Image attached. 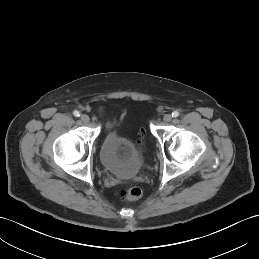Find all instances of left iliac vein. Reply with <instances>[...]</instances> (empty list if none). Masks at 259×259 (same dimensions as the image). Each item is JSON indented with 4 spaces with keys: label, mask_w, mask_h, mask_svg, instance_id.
<instances>
[{
    "label": "left iliac vein",
    "mask_w": 259,
    "mask_h": 259,
    "mask_svg": "<svg viewBox=\"0 0 259 259\" xmlns=\"http://www.w3.org/2000/svg\"><path fill=\"white\" fill-rule=\"evenodd\" d=\"M163 120L165 122H170L172 120V115L171 114H165L163 117Z\"/></svg>",
    "instance_id": "left-iliac-vein-1"
}]
</instances>
